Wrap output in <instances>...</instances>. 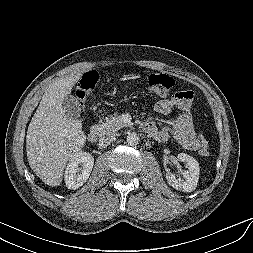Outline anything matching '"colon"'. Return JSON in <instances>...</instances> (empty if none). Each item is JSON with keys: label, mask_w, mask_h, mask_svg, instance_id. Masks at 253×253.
<instances>
[{"label": "colon", "mask_w": 253, "mask_h": 253, "mask_svg": "<svg viewBox=\"0 0 253 253\" xmlns=\"http://www.w3.org/2000/svg\"><path fill=\"white\" fill-rule=\"evenodd\" d=\"M97 80L98 75L95 72L91 71L83 75L76 91L77 99L81 105H83L89 98ZM174 84L175 81L171 76L163 73H152L148 77L147 90L153 95L165 96L173 88ZM174 97L178 101L190 104L193 101V93L189 90L179 91L174 95ZM197 148L201 155L208 154L207 142L202 137L198 138Z\"/></svg>", "instance_id": "5ec220e1"}]
</instances>
